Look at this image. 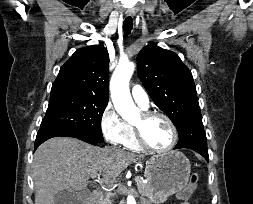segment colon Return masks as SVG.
<instances>
[{
    "label": "colon",
    "instance_id": "obj_1",
    "mask_svg": "<svg viewBox=\"0 0 253 204\" xmlns=\"http://www.w3.org/2000/svg\"><path fill=\"white\" fill-rule=\"evenodd\" d=\"M200 179V175L198 173H192L189 179V183L182 191L180 198L182 200H187L191 196V194L195 191L197 188L198 182Z\"/></svg>",
    "mask_w": 253,
    "mask_h": 204
}]
</instances>
